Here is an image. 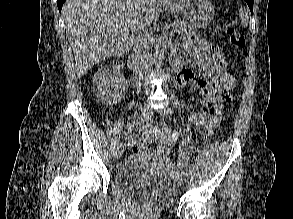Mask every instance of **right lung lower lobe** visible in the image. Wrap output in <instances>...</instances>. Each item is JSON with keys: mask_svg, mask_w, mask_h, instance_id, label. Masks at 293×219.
Segmentation results:
<instances>
[{"mask_svg": "<svg viewBox=\"0 0 293 219\" xmlns=\"http://www.w3.org/2000/svg\"><path fill=\"white\" fill-rule=\"evenodd\" d=\"M64 1L65 0H57V6H58L59 11H61Z\"/></svg>", "mask_w": 293, "mask_h": 219, "instance_id": "98d812e1", "label": "right lung lower lobe"}]
</instances>
